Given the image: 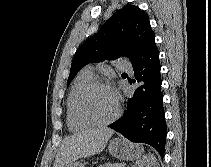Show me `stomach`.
<instances>
[{
  "label": "stomach",
  "mask_w": 211,
  "mask_h": 167,
  "mask_svg": "<svg viewBox=\"0 0 211 167\" xmlns=\"http://www.w3.org/2000/svg\"><path fill=\"white\" fill-rule=\"evenodd\" d=\"M108 151L119 160H134L142 154L143 148L140 145L131 144L124 139L115 138L110 141ZM66 167H84V163L74 161Z\"/></svg>",
  "instance_id": "obj_1"
}]
</instances>
